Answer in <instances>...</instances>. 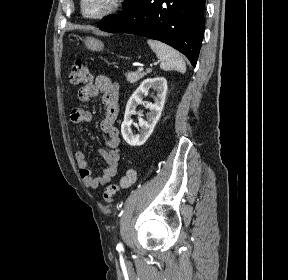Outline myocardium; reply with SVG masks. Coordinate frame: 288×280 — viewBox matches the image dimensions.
Masks as SVG:
<instances>
[{
	"label": "myocardium",
	"instance_id": "myocardium-1",
	"mask_svg": "<svg viewBox=\"0 0 288 280\" xmlns=\"http://www.w3.org/2000/svg\"><path fill=\"white\" fill-rule=\"evenodd\" d=\"M88 2L89 0H80V13L86 19L97 20L117 12L122 7L124 0H107L106 5L95 13H90L87 11L86 6Z\"/></svg>",
	"mask_w": 288,
	"mask_h": 280
}]
</instances>
